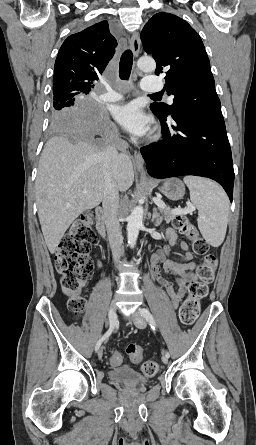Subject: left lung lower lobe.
Instances as JSON below:
<instances>
[{"label":"left lung lower lobe","instance_id":"0a47b994","mask_svg":"<svg viewBox=\"0 0 256 445\" xmlns=\"http://www.w3.org/2000/svg\"><path fill=\"white\" fill-rule=\"evenodd\" d=\"M156 116L163 140L141 149L148 173L155 178L208 177L221 184L232 201L234 170L222 112L181 106L171 120Z\"/></svg>","mask_w":256,"mask_h":445}]
</instances>
